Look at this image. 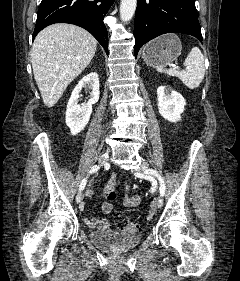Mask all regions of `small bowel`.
<instances>
[{
	"instance_id": "obj_1",
	"label": "small bowel",
	"mask_w": 240,
	"mask_h": 281,
	"mask_svg": "<svg viewBox=\"0 0 240 281\" xmlns=\"http://www.w3.org/2000/svg\"><path fill=\"white\" fill-rule=\"evenodd\" d=\"M116 185V175L112 174L109 182H108V186L107 188H115ZM93 191L92 190H87L86 191V195L88 197L93 196ZM141 202V197L139 195H131L129 193V186L127 185L125 187V192H124V198H123V203L126 207L132 208V207H136L137 205H139ZM85 207V204L82 203V205L80 206V210L83 211ZM112 210V205L110 202H103L100 206V213L102 215H106L108 213H110V211ZM85 222L86 224L93 229H100V230H104L106 228H108L109 226V222L107 219L103 218V217H89V218H85Z\"/></svg>"
}]
</instances>
